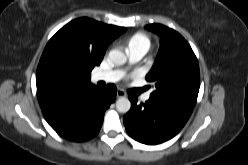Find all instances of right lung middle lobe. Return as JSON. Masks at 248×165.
Instances as JSON below:
<instances>
[{
    "mask_svg": "<svg viewBox=\"0 0 248 165\" xmlns=\"http://www.w3.org/2000/svg\"><path fill=\"white\" fill-rule=\"evenodd\" d=\"M55 56H56V58H58L59 60H62V61L71 60L73 58L72 55L64 53V52H58V53H56Z\"/></svg>",
    "mask_w": 248,
    "mask_h": 165,
    "instance_id": "dd1d6c3e",
    "label": "right lung middle lobe"
}]
</instances>
